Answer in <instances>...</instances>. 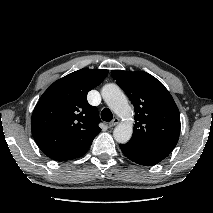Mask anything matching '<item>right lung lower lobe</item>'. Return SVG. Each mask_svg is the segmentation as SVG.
I'll return each instance as SVG.
<instances>
[{"mask_svg": "<svg viewBox=\"0 0 213 213\" xmlns=\"http://www.w3.org/2000/svg\"><path fill=\"white\" fill-rule=\"evenodd\" d=\"M87 150H88V149H87ZM87 150L84 151V152H82V153H80V154L74 155V156H70V157H61V158L54 159V160H56V161H66V160L75 159V158L80 157V156H82L83 154H85V153L87 152Z\"/></svg>", "mask_w": 213, "mask_h": 213, "instance_id": "right-lung-lower-lobe-1", "label": "right lung lower lobe"}]
</instances>
